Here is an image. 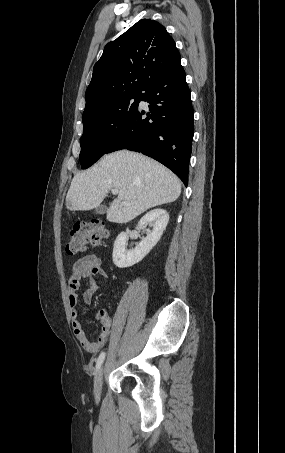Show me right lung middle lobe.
Listing matches in <instances>:
<instances>
[{
	"label": "right lung middle lobe",
	"instance_id": "1",
	"mask_svg": "<svg viewBox=\"0 0 285 453\" xmlns=\"http://www.w3.org/2000/svg\"><path fill=\"white\" fill-rule=\"evenodd\" d=\"M141 93L114 97L83 113L80 163L83 169L107 153L138 110Z\"/></svg>",
	"mask_w": 285,
	"mask_h": 453
}]
</instances>
